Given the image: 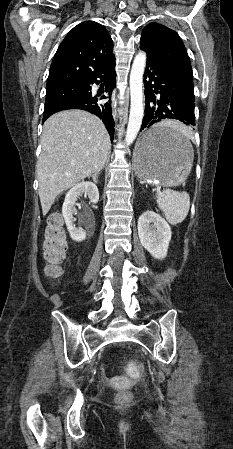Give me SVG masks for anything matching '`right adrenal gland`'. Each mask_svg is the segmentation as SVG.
<instances>
[{"instance_id":"1","label":"right adrenal gland","mask_w":233,"mask_h":449,"mask_svg":"<svg viewBox=\"0 0 233 449\" xmlns=\"http://www.w3.org/2000/svg\"><path fill=\"white\" fill-rule=\"evenodd\" d=\"M102 169H103V167H102L100 170H102ZM100 170L97 171V172H95V173L92 175V179H93V181H94L95 183H97V177H98V175H99V173H100Z\"/></svg>"}]
</instances>
